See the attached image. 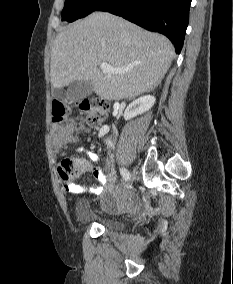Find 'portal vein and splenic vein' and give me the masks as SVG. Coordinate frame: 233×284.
Wrapping results in <instances>:
<instances>
[{
  "label": "portal vein and splenic vein",
  "instance_id": "portal-vein-and-splenic-vein-1",
  "mask_svg": "<svg viewBox=\"0 0 233 284\" xmlns=\"http://www.w3.org/2000/svg\"><path fill=\"white\" fill-rule=\"evenodd\" d=\"M100 69L104 72H112V73H124L127 72V69H116L113 68L111 65H109L108 63H101L100 64Z\"/></svg>",
  "mask_w": 233,
  "mask_h": 284
}]
</instances>
